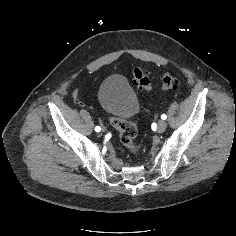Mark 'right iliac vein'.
<instances>
[{"instance_id": "obj_1", "label": "right iliac vein", "mask_w": 236, "mask_h": 236, "mask_svg": "<svg viewBox=\"0 0 236 236\" xmlns=\"http://www.w3.org/2000/svg\"><path fill=\"white\" fill-rule=\"evenodd\" d=\"M96 122L98 123V125L100 126V130L102 132H105L107 130V127L105 126L106 125V122L101 118V117H98L96 119Z\"/></svg>"}]
</instances>
